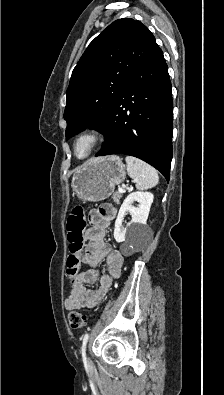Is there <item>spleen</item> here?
I'll list each match as a JSON object with an SVG mask.
<instances>
[{
    "label": "spleen",
    "instance_id": "obj_1",
    "mask_svg": "<svg viewBox=\"0 0 224 395\" xmlns=\"http://www.w3.org/2000/svg\"><path fill=\"white\" fill-rule=\"evenodd\" d=\"M125 161L128 175L138 190L150 189L158 184V173L152 166L132 156H126Z\"/></svg>",
    "mask_w": 224,
    "mask_h": 395
}]
</instances>
